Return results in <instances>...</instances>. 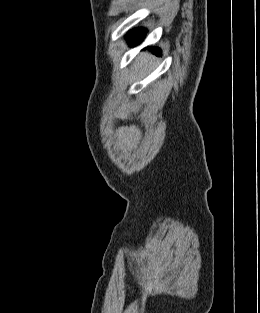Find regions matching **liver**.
Segmentation results:
<instances>
[{"label":"liver","mask_w":260,"mask_h":313,"mask_svg":"<svg viewBox=\"0 0 260 313\" xmlns=\"http://www.w3.org/2000/svg\"><path fill=\"white\" fill-rule=\"evenodd\" d=\"M148 59H149V55L141 54L135 62V67H138V68L142 67L143 64L147 63Z\"/></svg>","instance_id":"1"}]
</instances>
